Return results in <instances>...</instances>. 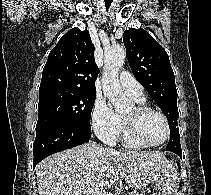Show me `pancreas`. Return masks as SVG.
Returning <instances> with one entry per match:
<instances>
[{"label":"pancreas","instance_id":"1","mask_svg":"<svg viewBox=\"0 0 211 195\" xmlns=\"http://www.w3.org/2000/svg\"><path fill=\"white\" fill-rule=\"evenodd\" d=\"M129 195H143V194H140L139 192L134 191V192H131Z\"/></svg>","mask_w":211,"mask_h":195}]
</instances>
